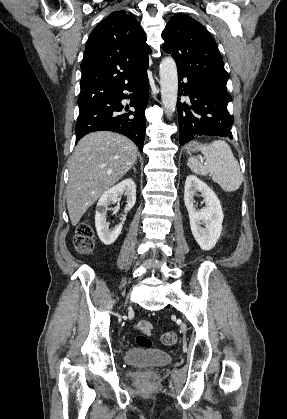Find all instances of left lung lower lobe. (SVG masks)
<instances>
[{"label":"left lung lower lobe","instance_id":"1","mask_svg":"<svg viewBox=\"0 0 287 419\" xmlns=\"http://www.w3.org/2000/svg\"><path fill=\"white\" fill-rule=\"evenodd\" d=\"M178 75V96L188 95L191 104L177 102L180 145L199 136H221L233 139V117L227 110L231 96L226 87L192 80ZM180 100V99H179Z\"/></svg>","mask_w":287,"mask_h":419}]
</instances>
